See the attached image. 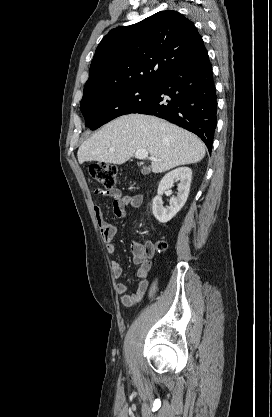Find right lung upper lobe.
Wrapping results in <instances>:
<instances>
[{
	"label": "right lung upper lobe",
	"instance_id": "obj_1",
	"mask_svg": "<svg viewBox=\"0 0 272 417\" xmlns=\"http://www.w3.org/2000/svg\"><path fill=\"white\" fill-rule=\"evenodd\" d=\"M203 47L194 24L173 10L114 28L96 49L83 95L97 97L155 83Z\"/></svg>",
	"mask_w": 272,
	"mask_h": 417
}]
</instances>
